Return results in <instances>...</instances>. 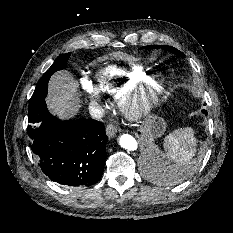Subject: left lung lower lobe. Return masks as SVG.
<instances>
[{"label":"left lung lower lobe","instance_id":"left-lung-lower-lobe-1","mask_svg":"<svg viewBox=\"0 0 233 233\" xmlns=\"http://www.w3.org/2000/svg\"><path fill=\"white\" fill-rule=\"evenodd\" d=\"M203 113H204V114H207V112H206L205 110H203Z\"/></svg>","mask_w":233,"mask_h":233}]
</instances>
